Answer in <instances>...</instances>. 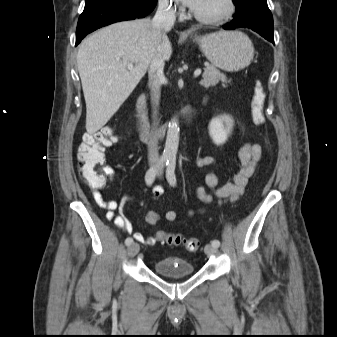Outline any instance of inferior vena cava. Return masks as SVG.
I'll list each match as a JSON object with an SVG mask.
<instances>
[{
	"label": "inferior vena cava",
	"mask_w": 337,
	"mask_h": 337,
	"mask_svg": "<svg viewBox=\"0 0 337 337\" xmlns=\"http://www.w3.org/2000/svg\"><path fill=\"white\" fill-rule=\"evenodd\" d=\"M176 20V9L169 6L168 0H160L157 12L152 20L153 27L157 29H171ZM164 60L155 58L148 69L149 86L151 90V101L153 105V127L158 125L157 107L159 105L161 85L165 80ZM148 160L157 162L159 160L158 140L155 133L148 144Z\"/></svg>",
	"instance_id": "602c4592"
}]
</instances>
